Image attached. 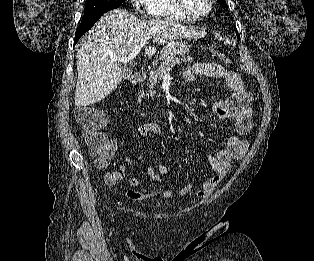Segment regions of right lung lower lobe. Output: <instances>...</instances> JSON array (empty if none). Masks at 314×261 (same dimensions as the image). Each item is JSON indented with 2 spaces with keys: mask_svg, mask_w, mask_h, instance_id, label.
Here are the masks:
<instances>
[{
  "mask_svg": "<svg viewBox=\"0 0 314 261\" xmlns=\"http://www.w3.org/2000/svg\"><path fill=\"white\" fill-rule=\"evenodd\" d=\"M100 18V17H99ZM95 19L89 23H86V24H81L77 30H76V34H75V39H74V45L78 42L79 38L86 32L88 31L89 29L92 28V26L95 24V22L99 19Z\"/></svg>",
  "mask_w": 314,
  "mask_h": 261,
  "instance_id": "1",
  "label": "right lung lower lobe"
}]
</instances>
